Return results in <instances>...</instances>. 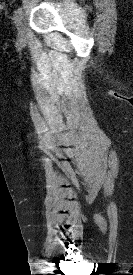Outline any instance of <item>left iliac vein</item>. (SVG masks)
<instances>
[{
  "label": "left iliac vein",
  "instance_id": "obj_1",
  "mask_svg": "<svg viewBox=\"0 0 133 275\" xmlns=\"http://www.w3.org/2000/svg\"><path fill=\"white\" fill-rule=\"evenodd\" d=\"M15 26L17 29L19 41L21 43L25 42L26 41V28H25V24H24L22 15L15 21Z\"/></svg>",
  "mask_w": 133,
  "mask_h": 275
}]
</instances>
